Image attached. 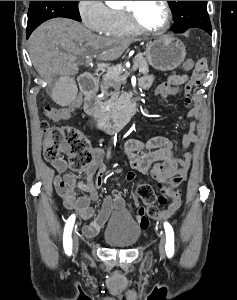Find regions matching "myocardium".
Returning <instances> with one entry per match:
<instances>
[{
    "instance_id": "obj_1",
    "label": "myocardium",
    "mask_w": 237,
    "mask_h": 300,
    "mask_svg": "<svg viewBox=\"0 0 237 300\" xmlns=\"http://www.w3.org/2000/svg\"><path fill=\"white\" fill-rule=\"evenodd\" d=\"M163 4L166 11V19L164 25L159 29H150L140 23L136 11L137 1H128V3L124 6L123 10L125 11L129 22L137 31L161 35L164 34L170 28L172 22V10L170 3L169 1H163Z\"/></svg>"
}]
</instances>
